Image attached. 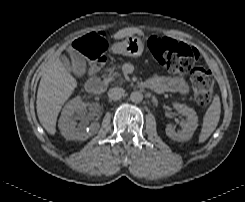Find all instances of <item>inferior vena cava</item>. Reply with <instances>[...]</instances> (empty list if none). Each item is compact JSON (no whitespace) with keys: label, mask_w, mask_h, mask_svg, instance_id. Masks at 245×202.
I'll return each instance as SVG.
<instances>
[{"label":"inferior vena cava","mask_w":245,"mask_h":202,"mask_svg":"<svg viewBox=\"0 0 245 202\" xmlns=\"http://www.w3.org/2000/svg\"><path fill=\"white\" fill-rule=\"evenodd\" d=\"M125 90L121 87H113L108 91V97L112 100H119L124 96Z\"/></svg>","instance_id":"obj_1"}]
</instances>
